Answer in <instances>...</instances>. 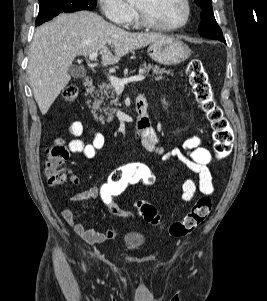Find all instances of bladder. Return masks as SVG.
Segmentation results:
<instances>
[{"label":"bladder","mask_w":267,"mask_h":301,"mask_svg":"<svg viewBox=\"0 0 267 301\" xmlns=\"http://www.w3.org/2000/svg\"><path fill=\"white\" fill-rule=\"evenodd\" d=\"M121 242L124 247L131 250H137L144 246L146 237L141 232L128 231L122 236Z\"/></svg>","instance_id":"bladder-1"}]
</instances>
